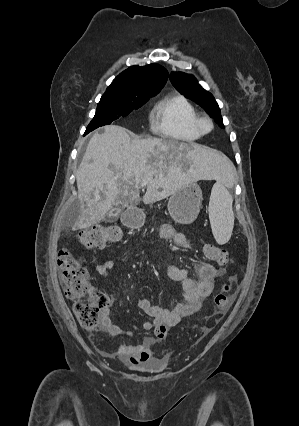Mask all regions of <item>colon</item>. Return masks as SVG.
Wrapping results in <instances>:
<instances>
[{
    "label": "colon",
    "instance_id": "obj_1",
    "mask_svg": "<svg viewBox=\"0 0 299 426\" xmlns=\"http://www.w3.org/2000/svg\"><path fill=\"white\" fill-rule=\"evenodd\" d=\"M122 236V230L118 226L108 225L83 230L78 237L85 248L98 249L119 242ZM204 253L207 259L221 266L226 265L229 261L228 252L213 244L205 245ZM58 266L64 293L68 299L75 302L74 311L80 325L86 329L94 328L98 323L100 311L108 303L107 297L92 287L82 261L74 257L68 250L63 249L59 252ZM231 301V285L225 284L214 298L215 314H224Z\"/></svg>",
    "mask_w": 299,
    "mask_h": 426
}]
</instances>
